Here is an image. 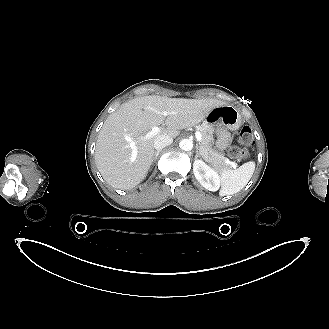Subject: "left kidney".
I'll list each match as a JSON object with an SVG mask.
<instances>
[{"mask_svg": "<svg viewBox=\"0 0 329 329\" xmlns=\"http://www.w3.org/2000/svg\"><path fill=\"white\" fill-rule=\"evenodd\" d=\"M193 172L198 182L209 191H217L220 187V178L218 173L202 160H195Z\"/></svg>", "mask_w": 329, "mask_h": 329, "instance_id": "1", "label": "left kidney"}]
</instances>
